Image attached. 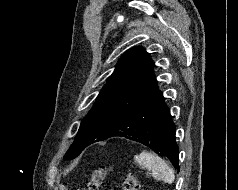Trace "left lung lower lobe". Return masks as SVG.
<instances>
[{
	"instance_id": "0a47b994",
	"label": "left lung lower lobe",
	"mask_w": 238,
	"mask_h": 190,
	"mask_svg": "<svg viewBox=\"0 0 238 190\" xmlns=\"http://www.w3.org/2000/svg\"><path fill=\"white\" fill-rule=\"evenodd\" d=\"M176 126L170 109L164 102L157 81L117 120L111 132L103 139L121 136L140 142L154 152L166 156L179 170V148Z\"/></svg>"
}]
</instances>
